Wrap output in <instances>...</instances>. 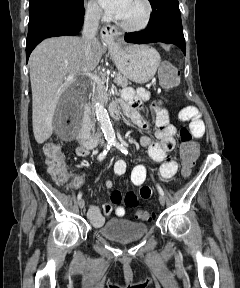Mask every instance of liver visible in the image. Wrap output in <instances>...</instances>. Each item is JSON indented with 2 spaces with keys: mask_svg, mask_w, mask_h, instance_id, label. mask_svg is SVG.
I'll list each match as a JSON object with an SVG mask.
<instances>
[{
  "mask_svg": "<svg viewBox=\"0 0 240 288\" xmlns=\"http://www.w3.org/2000/svg\"><path fill=\"white\" fill-rule=\"evenodd\" d=\"M104 47L97 42L86 56L80 37L62 36L45 39L29 58L32 89L33 133L42 144L53 133V116L62 93L77 76L93 71L100 62ZM68 75H74L66 81Z\"/></svg>",
  "mask_w": 240,
  "mask_h": 288,
  "instance_id": "obj_1",
  "label": "liver"
}]
</instances>
